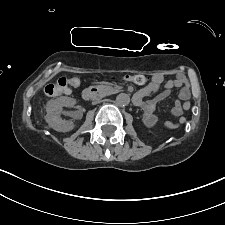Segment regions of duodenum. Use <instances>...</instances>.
<instances>
[{"instance_id":"1","label":"duodenum","mask_w":225,"mask_h":225,"mask_svg":"<svg viewBox=\"0 0 225 225\" xmlns=\"http://www.w3.org/2000/svg\"><path fill=\"white\" fill-rule=\"evenodd\" d=\"M99 95H100V92L96 90L95 88H86L82 93L83 98L88 101L96 98ZM134 102L137 105L135 97H134Z\"/></svg>"}]
</instances>
